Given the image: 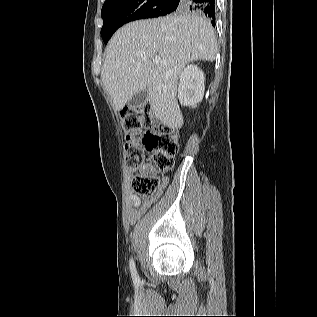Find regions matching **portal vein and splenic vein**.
I'll return each mask as SVG.
<instances>
[{
	"mask_svg": "<svg viewBox=\"0 0 317 317\" xmlns=\"http://www.w3.org/2000/svg\"><path fill=\"white\" fill-rule=\"evenodd\" d=\"M159 61H160V59H159V58H155V59H153V63H154V64H158V63H159Z\"/></svg>",
	"mask_w": 317,
	"mask_h": 317,
	"instance_id": "18ae733b",
	"label": "portal vein and splenic vein"
}]
</instances>
